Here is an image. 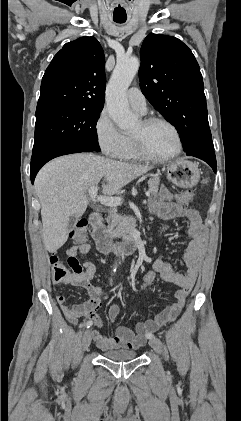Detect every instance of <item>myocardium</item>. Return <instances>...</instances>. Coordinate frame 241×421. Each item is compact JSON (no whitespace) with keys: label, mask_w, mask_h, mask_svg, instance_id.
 Returning <instances> with one entry per match:
<instances>
[{"label":"myocardium","mask_w":241,"mask_h":421,"mask_svg":"<svg viewBox=\"0 0 241 421\" xmlns=\"http://www.w3.org/2000/svg\"><path fill=\"white\" fill-rule=\"evenodd\" d=\"M157 123H161V124H164V125L168 126L169 128H171V130L175 134L177 146H176L175 151L168 156L156 157V156L152 155L147 150V148L144 144L142 132L131 133L130 135H131V139H132L134 148H135L136 152L138 153V155L142 159L150 161V162H154V163H167V162L172 161L176 157H178L180 155V153L182 152V149H183L182 136L180 134L179 129L176 127V125H174L171 121H169L165 118L151 116V117H146V118L141 120V124H142L143 129L148 128L149 126H151L153 124H157Z\"/></svg>","instance_id":"1"}]
</instances>
